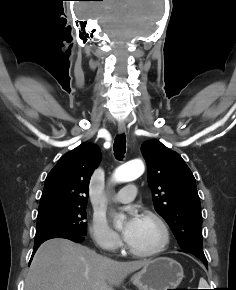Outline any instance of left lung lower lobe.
<instances>
[{"label": "left lung lower lobe", "mask_w": 236, "mask_h": 290, "mask_svg": "<svg viewBox=\"0 0 236 290\" xmlns=\"http://www.w3.org/2000/svg\"><path fill=\"white\" fill-rule=\"evenodd\" d=\"M204 264H205V266L207 267V260H201Z\"/></svg>", "instance_id": "left-lung-lower-lobe-1"}]
</instances>
